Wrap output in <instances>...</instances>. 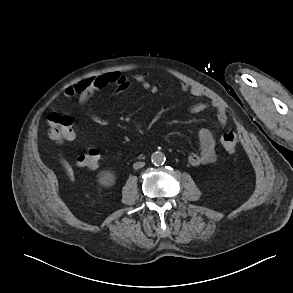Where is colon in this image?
Here are the masks:
<instances>
[{
  "label": "colon",
  "instance_id": "obj_1",
  "mask_svg": "<svg viewBox=\"0 0 293 293\" xmlns=\"http://www.w3.org/2000/svg\"><path fill=\"white\" fill-rule=\"evenodd\" d=\"M49 136L55 141H70L74 139L75 132L73 120L66 115L51 113L47 118ZM221 144L225 151L233 153L237 146V137L234 132L226 131L221 135ZM101 154L96 148H90L78 157V165L88 169H95L100 162Z\"/></svg>",
  "mask_w": 293,
  "mask_h": 293
}]
</instances>
